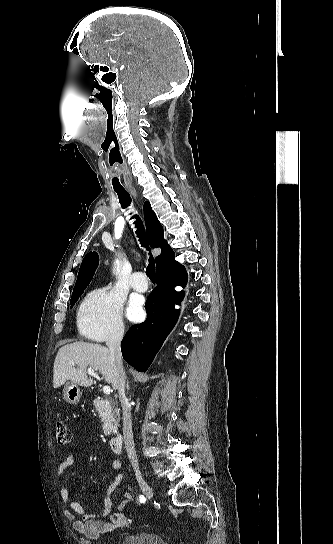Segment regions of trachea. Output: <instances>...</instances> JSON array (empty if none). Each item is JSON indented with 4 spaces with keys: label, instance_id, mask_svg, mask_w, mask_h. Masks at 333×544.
Here are the masks:
<instances>
[{
    "label": "trachea",
    "instance_id": "trachea-1",
    "mask_svg": "<svg viewBox=\"0 0 333 544\" xmlns=\"http://www.w3.org/2000/svg\"><path fill=\"white\" fill-rule=\"evenodd\" d=\"M115 192L118 195L119 202L122 208L123 209L127 208L131 204V197L129 193L126 190H117V189H115ZM132 218L136 219L134 221V224L136 227V234H137V237L139 238L140 244L143 247H145L149 251V254H150L149 264L146 268V274L151 281L155 282V262H154V258L151 255V250L147 242L143 222L138 215H134L132 216Z\"/></svg>",
    "mask_w": 333,
    "mask_h": 544
}]
</instances>
